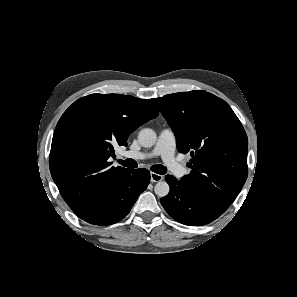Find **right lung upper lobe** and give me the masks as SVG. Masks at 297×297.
<instances>
[{
    "label": "right lung upper lobe",
    "instance_id": "right-lung-upper-lobe-1",
    "mask_svg": "<svg viewBox=\"0 0 297 297\" xmlns=\"http://www.w3.org/2000/svg\"><path fill=\"white\" fill-rule=\"evenodd\" d=\"M158 114L150 100L121 94H91L64 112L53 135L49 166L78 217L130 171L111 166L112 144L127 145L129 134Z\"/></svg>",
    "mask_w": 297,
    "mask_h": 297
}]
</instances>
